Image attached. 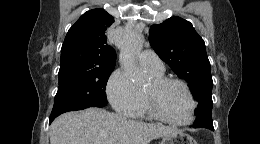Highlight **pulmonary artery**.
I'll list each match as a JSON object with an SVG mask.
<instances>
[{"instance_id":"pulmonary-artery-1","label":"pulmonary artery","mask_w":260,"mask_h":144,"mask_svg":"<svg viewBox=\"0 0 260 144\" xmlns=\"http://www.w3.org/2000/svg\"><path fill=\"white\" fill-rule=\"evenodd\" d=\"M141 65L153 72H163L164 66L160 57L152 50H144L140 55Z\"/></svg>"}]
</instances>
